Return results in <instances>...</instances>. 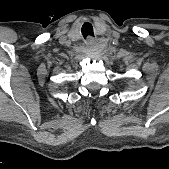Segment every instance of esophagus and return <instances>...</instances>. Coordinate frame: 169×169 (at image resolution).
Segmentation results:
<instances>
[{"label":"esophagus","mask_w":169,"mask_h":169,"mask_svg":"<svg viewBox=\"0 0 169 169\" xmlns=\"http://www.w3.org/2000/svg\"><path fill=\"white\" fill-rule=\"evenodd\" d=\"M95 42H96V39L94 37H88L87 40H86V44L88 46L94 45Z\"/></svg>","instance_id":"34e87169"}]
</instances>
